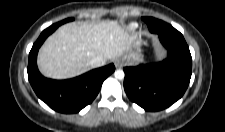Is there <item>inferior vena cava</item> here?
Instances as JSON below:
<instances>
[{
	"instance_id": "602c4592",
	"label": "inferior vena cava",
	"mask_w": 225,
	"mask_h": 132,
	"mask_svg": "<svg viewBox=\"0 0 225 132\" xmlns=\"http://www.w3.org/2000/svg\"><path fill=\"white\" fill-rule=\"evenodd\" d=\"M106 63L105 59L102 57H96L90 61L91 67H100Z\"/></svg>"
}]
</instances>
